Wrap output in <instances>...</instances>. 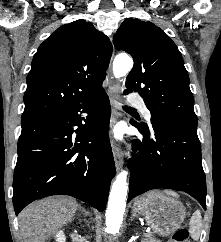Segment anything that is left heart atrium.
Here are the masks:
<instances>
[{"label":"left heart atrium","instance_id":"left-heart-atrium-1","mask_svg":"<svg viewBox=\"0 0 221 242\" xmlns=\"http://www.w3.org/2000/svg\"><path fill=\"white\" fill-rule=\"evenodd\" d=\"M114 136H115V138H117V139H120V138H121V130H120L119 128H116V129L114 130Z\"/></svg>","mask_w":221,"mask_h":242}]
</instances>
